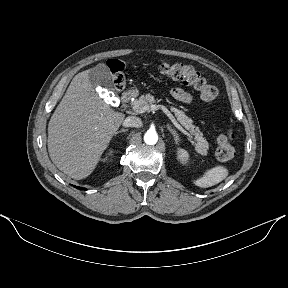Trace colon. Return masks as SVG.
Listing matches in <instances>:
<instances>
[{
  "mask_svg": "<svg viewBox=\"0 0 288 288\" xmlns=\"http://www.w3.org/2000/svg\"><path fill=\"white\" fill-rule=\"evenodd\" d=\"M113 85L115 89L122 90L125 87L124 64L120 60L112 59L108 61ZM160 73L173 80H179L186 85L196 89L203 100L214 102L219 99L220 92L217 87L210 84L201 73L194 67L184 64L162 63L159 66ZM234 133L230 128L226 134L217 138L216 155L220 160H229L235 155L233 146Z\"/></svg>",
  "mask_w": 288,
  "mask_h": 288,
  "instance_id": "1",
  "label": "colon"
}]
</instances>
